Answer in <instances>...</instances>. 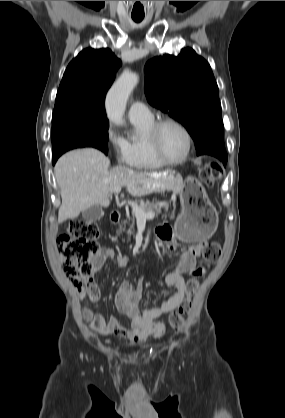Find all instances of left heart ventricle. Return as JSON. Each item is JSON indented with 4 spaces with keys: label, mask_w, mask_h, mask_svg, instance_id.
I'll return each mask as SVG.
<instances>
[{
    "label": "left heart ventricle",
    "mask_w": 285,
    "mask_h": 418,
    "mask_svg": "<svg viewBox=\"0 0 285 418\" xmlns=\"http://www.w3.org/2000/svg\"><path fill=\"white\" fill-rule=\"evenodd\" d=\"M159 143L166 157L172 160L181 158L187 147L184 133L174 125H167L161 130Z\"/></svg>",
    "instance_id": "left-heart-ventricle-1"
}]
</instances>
